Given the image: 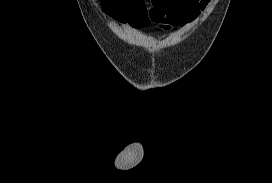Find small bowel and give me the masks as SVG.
<instances>
[{
  "label": "small bowel",
  "mask_w": 272,
  "mask_h": 183,
  "mask_svg": "<svg viewBox=\"0 0 272 183\" xmlns=\"http://www.w3.org/2000/svg\"><path fill=\"white\" fill-rule=\"evenodd\" d=\"M209 0H102L106 13L134 29L152 23L176 24L194 20Z\"/></svg>",
  "instance_id": "small-bowel-1"
}]
</instances>
